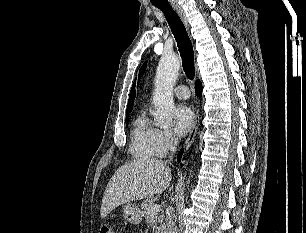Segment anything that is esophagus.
I'll return each instance as SVG.
<instances>
[{
	"mask_svg": "<svg viewBox=\"0 0 306 233\" xmlns=\"http://www.w3.org/2000/svg\"><path fill=\"white\" fill-rule=\"evenodd\" d=\"M172 6L177 11V13L181 17L182 21L184 22V24L188 28V22H187V19H186L184 13H183V10L180 8L179 5H177L175 3H173ZM199 122H200V114H199V109H197L196 114H195L194 125H193V127H192V129H191V131L189 133V136H188V138H187V140L185 142V145H184L185 151H187L191 147V145H192V143H193V141L195 139V136H196V133H197V129H198V126H199Z\"/></svg>",
	"mask_w": 306,
	"mask_h": 233,
	"instance_id": "1",
	"label": "esophagus"
}]
</instances>
